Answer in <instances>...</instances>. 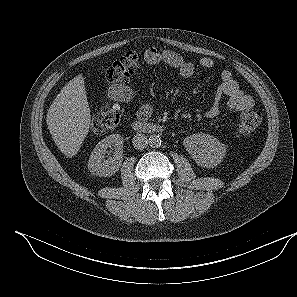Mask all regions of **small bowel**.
I'll use <instances>...</instances> for the list:
<instances>
[{
	"instance_id": "1",
	"label": "small bowel",
	"mask_w": 297,
	"mask_h": 297,
	"mask_svg": "<svg viewBox=\"0 0 297 297\" xmlns=\"http://www.w3.org/2000/svg\"><path fill=\"white\" fill-rule=\"evenodd\" d=\"M144 60L148 65L157 66L164 64L175 69L182 77H191L195 72V65L185 60L180 54L157 47L149 48L144 53ZM199 66L211 68L214 66V60L208 57L199 60ZM221 83L218 86L213 104L206 110L205 116L213 118L218 115L221 107V101L226 98V105L229 109L235 111H244L253 107V98L244 93L238 83L233 79L232 73L224 70L220 74ZM108 97L114 103H127L137 98L139 90L130 84L112 85L108 88ZM153 113V107L150 103H145L137 110V118L140 120L148 119Z\"/></svg>"
}]
</instances>
